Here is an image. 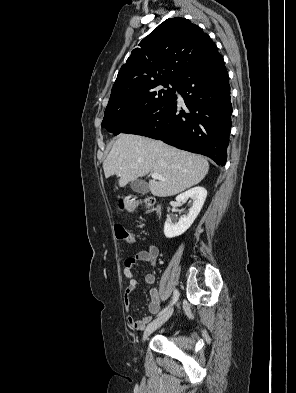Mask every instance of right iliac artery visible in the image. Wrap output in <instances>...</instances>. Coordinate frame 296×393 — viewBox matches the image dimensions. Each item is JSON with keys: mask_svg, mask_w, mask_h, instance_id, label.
Instances as JSON below:
<instances>
[{"mask_svg": "<svg viewBox=\"0 0 296 393\" xmlns=\"http://www.w3.org/2000/svg\"><path fill=\"white\" fill-rule=\"evenodd\" d=\"M178 298H179V292H178V290L175 289L172 302L170 303V305H168L166 308H164L157 316H160L163 313H165L170 308V306H172L173 304H175L177 302Z\"/></svg>", "mask_w": 296, "mask_h": 393, "instance_id": "1", "label": "right iliac artery"}]
</instances>
